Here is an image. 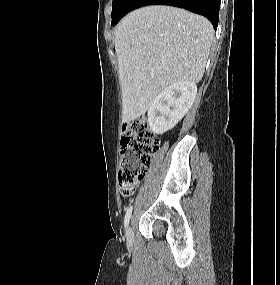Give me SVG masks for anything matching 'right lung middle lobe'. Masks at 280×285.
<instances>
[{
  "label": "right lung middle lobe",
  "instance_id": "right-lung-middle-lobe-1",
  "mask_svg": "<svg viewBox=\"0 0 280 285\" xmlns=\"http://www.w3.org/2000/svg\"><path fill=\"white\" fill-rule=\"evenodd\" d=\"M137 0H113L112 3V25H116L119 20L126 15L128 12H130L134 4Z\"/></svg>",
  "mask_w": 280,
  "mask_h": 285
}]
</instances>
